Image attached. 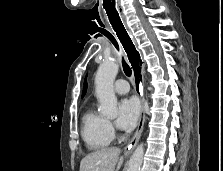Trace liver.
I'll return each mask as SVG.
<instances>
[{"mask_svg":"<svg viewBox=\"0 0 223 171\" xmlns=\"http://www.w3.org/2000/svg\"><path fill=\"white\" fill-rule=\"evenodd\" d=\"M120 149L111 147L97 150L85 156L80 163V171H117L123 164Z\"/></svg>","mask_w":223,"mask_h":171,"instance_id":"1","label":"liver"}]
</instances>
